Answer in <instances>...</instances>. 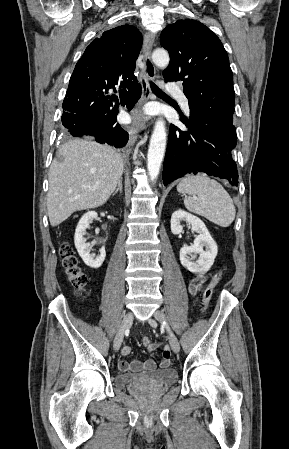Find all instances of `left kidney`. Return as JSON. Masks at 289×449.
I'll use <instances>...</instances> for the list:
<instances>
[{"label": "left kidney", "mask_w": 289, "mask_h": 449, "mask_svg": "<svg viewBox=\"0 0 289 449\" xmlns=\"http://www.w3.org/2000/svg\"><path fill=\"white\" fill-rule=\"evenodd\" d=\"M182 221L189 223L193 231L198 233V235L195 236L194 243L191 246H183L180 249V262L190 272L204 274L214 263L218 252L217 244L211 237L204 222L197 216L183 210H177L172 214L171 231L174 235L182 233ZM204 247L205 250L203 249ZM197 254L199 258L194 261Z\"/></svg>", "instance_id": "5707ae66"}]
</instances>
